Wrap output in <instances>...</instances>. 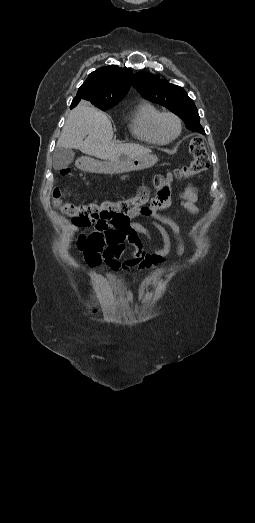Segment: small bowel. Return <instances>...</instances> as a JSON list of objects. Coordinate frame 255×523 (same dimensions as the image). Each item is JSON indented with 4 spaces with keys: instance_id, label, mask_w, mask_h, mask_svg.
Here are the masks:
<instances>
[{
    "instance_id": "obj_1",
    "label": "small bowel",
    "mask_w": 255,
    "mask_h": 523,
    "mask_svg": "<svg viewBox=\"0 0 255 523\" xmlns=\"http://www.w3.org/2000/svg\"><path fill=\"white\" fill-rule=\"evenodd\" d=\"M199 197L193 185H187L177 198L167 194L163 199H155L150 207L137 209L128 215V220L122 226L97 222L91 232H81L76 241V247L91 267L97 268L102 262L112 270L137 267L140 271L157 267L171 252L172 240L168 229L177 241L176 254L182 257L185 253V244L180 226L170 217L160 214L161 210L179 205L191 214H198ZM145 218L157 229L162 239L160 248L151 247L150 251L144 248L143 239L149 244L152 235L149 229L133 219Z\"/></svg>"
}]
</instances>
